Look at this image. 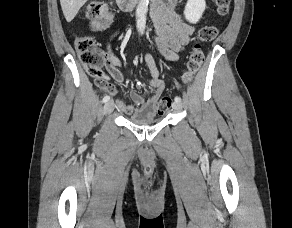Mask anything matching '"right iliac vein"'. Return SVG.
<instances>
[{
	"label": "right iliac vein",
	"instance_id": "right-iliac-vein-1",
	"mask_svg": "<svg viewBox=\"0 0 292 228\" xmlns=\"http://www.w3.org/2000/svg\"><path fill=\"white\" fill-rule=\"evenodd\" d=\"M114 109V102L111 100V101H108L105 105H104V113L105 114H108V113H111Z\"/></svg>",
	"mask_w": 292,
	"mask_h": 228
}]
</instances>
